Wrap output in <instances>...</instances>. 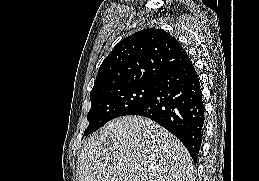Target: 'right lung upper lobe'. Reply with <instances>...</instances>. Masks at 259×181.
<instances>
[{"instance_id": "1", "label": "right lung upper lobe", "mask_w": 259, "mask_h": 181, "mask_svg": "<svg viewBox=\"0 0 259 181\" xmlns=\"http://www.w3.org/2000/svg\"><path fill=\"white\" fill-rule=\"evenodd\" d=\"M188 58L166 31L144 29L120 41L101 64L90 95L134 84L154 83Z\"/></svg>"}]
</instances>
